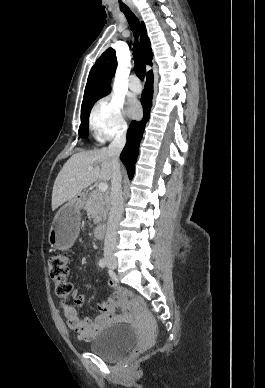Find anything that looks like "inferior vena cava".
<instances>
[{"label": "inferior vena cava", "mask_w": 265, "mask_h": 388, "mask_svg": "<svg viewBox=\"0 0 265 388\" xmlns=\"http://www.w3.org/2000/svg\"><path fill=\"white\" fill-rule=\"evenodd\" d=\"M126 144V132L117 134L108 148V156L111 158V208L107 222L106 236L104 240V258H113L114 248L116 246L117 228L123 214V198L121 186V172L119 156Z\"/></svg>", "instance_id": "1"}]
</instances>
